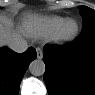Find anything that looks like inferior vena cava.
Here are the masks:
<instances>
[{
	"mask_svg": "<svg viewBox=\"0 0 95 95\" xmlns=\"http://www.w3.org/2000/svg\"><path fill=\"white\" fill-rule=\"evenodd\" d=\"M10 49L17 53L25 52L28 48L27 41L24 39H18L10 43Z\"/></svg>",
	"mask_w": 95,
	"mask_h": 95,
	"instance_id": "602c4592",
	"label": "inferior vena cava"
}]
</instances>
